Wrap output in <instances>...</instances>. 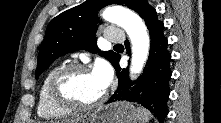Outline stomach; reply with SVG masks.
<instances>
[{
	"mask_svg": "<svg viewBox=\"0 0 221 123\" xmlns=\"http://www.w3.org/2000/svg\"><path fill=\"white\" fill-rule=\"evenodd\" d=\"M137 109L127 102H115L101 106L93 112L81 115L75 123H137Z\"/></svg>",
	"mask_w": 221,
	"mask_h": 123,
	"instance_id": "obj_1",
	"label": "stomach"
}]
</instances>
